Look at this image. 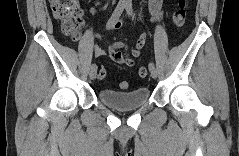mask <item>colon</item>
Segmentation results:
<instances>
[{"label": "colon", "mask_w": 239, "mask_h": 156, "mask_svg": "<svg viewBox=\"0 0 239 156\" xmlns=\"http://www.w3.org/2000/svg\"><path fill=\"white\" fill-rule=\"evenodd\" d=\"M52 11L54 16L60 22L61 30L64 34L77 39L83 25V10L76 0H52ZM173 22L177 27H182L186 19V0H178L172 16ZM140 78H146L148 70L141 67L138 70ZM107 77V70L102 67L99 70L98 78L104 80ZM120 89L128 88V83L122 81L119 84Z\"/></svg>", "instance_id": "obj_1"}]
</instances>
